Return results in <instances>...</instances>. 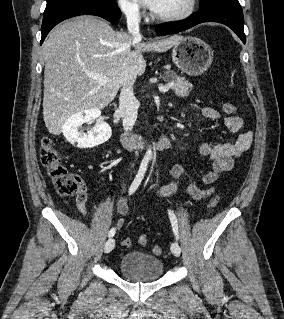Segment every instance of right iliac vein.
Returning <instances> with one entry per match:
<instances>
[{
    "instance_id": "right-iliac-vein-1",
    "label": "right iliac vein",
    "mask_w": 284,
    "mask_h": 319,
    "mask_svg": "<svg viewBox=\"0 0 284 319\" xmlns=\"http://www.w3.org/2000/svg\"><path fill=\"white\" fill-rule=\"evenodd\" d=\"M114 247H115V239L110 238L106 241V243L104 245V252L109 253L113 250Z\"/></svg>"
}]
</instances>
